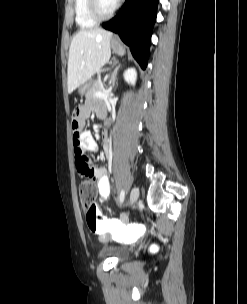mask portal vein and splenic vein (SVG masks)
Here are the masks:
<instances>
[{
  "label": "portal vein and splenic vein",
  "instance_id": "18ae733b",
  "mask_svg": "<svg viewBox=\"0 0 247 304\" xmlns=\"http://www.w3.org/2000/svg\"><path fill=\"white\" fill-rule=\"evenodd\" d=\"M94 96L95 97H99V98H103V97L108 96V93L107 92L97 91V92L94 93Z\"/></svg>",
  "mask_w": 247,
  "mask_h": 304
}]
</instances>
